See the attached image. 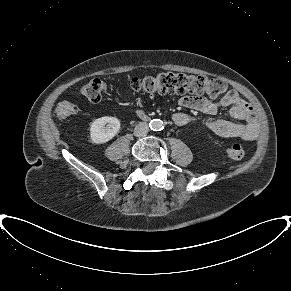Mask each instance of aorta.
Segmentation results:
<instances>
[{"label": "aorta", "mask_w": 291, "mask_h": 291, "mask_svg": "<svg viewBox=\"0 0 291 291\" xmlns=\"http://www.w3.org/2000/svg\"><path fill=\"white\" fill-rule=\"evenodd\" d=\"M149 127L153 131H160V130H162L164 128V123L160 119H153V120L150 121Z\"/></svg>", "instance_id": "aorta-1"}]
</instances>
